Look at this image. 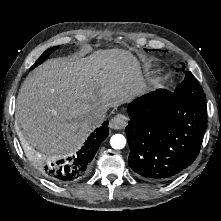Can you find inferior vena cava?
Wrapping results in <instances>:
<instances>
[{
  "label": "inferior vena cava",
  "mask_w": 221,
  "mask_h": 221,
  "mask_svg": "<svg viewBox=\"0 0 221 221\" xmlns=\"http://www.w3.org/2000/svg\"><path fill=\"white\" fill-rule=\"evenodd\" d=\"M106 114H107V108L96 107L92 109L88 114V121L93 126H99L104 121Z\"/></svg>",
  "instance_id": "1"
}]
</instances>
